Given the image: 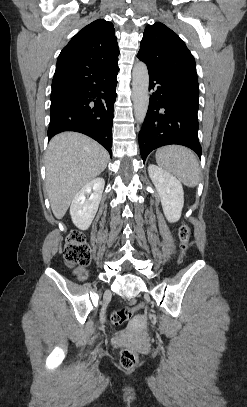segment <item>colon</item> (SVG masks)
<instances>
[{
	"label": "colon",
	"mask_w": 247,
	"mask_h": 407,
	"mask_svg": "<svg viewBox=\"0 0 247 407\" xmlns=\"http://www.w3.org/2000/svg\"><path fill=\"white\" fill-rule=\"evenodd\" d=\"M191 229L188 224H182L179 228V238L181 241V255L183 256L188 249ZM64 260L70 266L86 265L90 262L92 252L85 237L79 231H71L67 237L64 247ZM144 304L137 302L136 299H130L127 306H122L112 312L110 320L114 325H122L134 310L143 308ZM139 362L138 353L130 348H124L119 357V364L123 369L130 370L137 366Z\"/></svg>",
	"instance_id": "colon-1"
}]
</instances>
